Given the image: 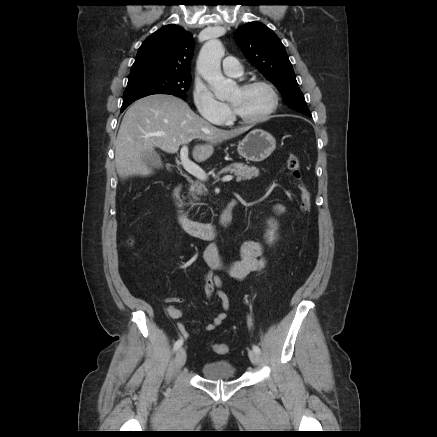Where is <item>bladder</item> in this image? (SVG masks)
Returning <instances> with one entry per match:
<instances>
[{
    "instance_id": "1",
    "label": "bladder",
    "mask_w": 437,
    "mask_h": 437,
    "mask_svg": "<svg viewBox=\"0 0 437 437\" xmlns=\"http://www.w3.org/2000/svg\"><path fill=\"white\" fill-rule=\"evenodd\" d=\"M201 372L204 378L210 380L232 379L236 376V368L227 361L206 362Z\"/></svg>"
}]
</instances>
